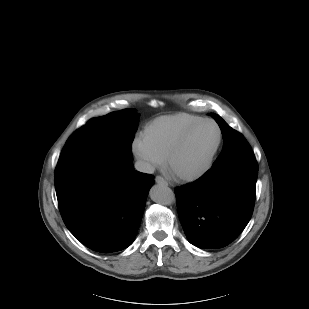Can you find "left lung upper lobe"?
Masks as SVG:
<instances>
[{"label":"left lung upper lobe","mask_w":309,"mask_h":309,"mask_svg":"<svg viewBox=\"0 0 309 309\" xmlns=\"http://www.w3.org/2000/svg\"><path fill=\"white\" fill-rule=\"evenodd\" d=\"M210 115L218 123L224 139L222 152L214 162L213 166L235 155L252 151L242 134L232 129L219 115L213 113Z\"/></svg>","instance_id":"1"}]
</instances>
